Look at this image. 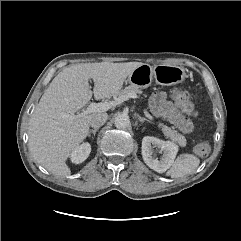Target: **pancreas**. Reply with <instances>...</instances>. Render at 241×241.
Returning <instances> with one entry per match:
<instances>
[{
  "instance_id": "cf45deb5",
  "label": "pancreas",
  "mask_w": 241,
  "mask_h": 241,
  "mask_svg": "<svg viewBox=\"0 0 241 241\" xmlns=\"http://www.w3.org/2000/svg\"><path fill=\"white\" fill-rule=\"evenodd\" d=\"M142 90L137 85H129L122 90L121 94H142ZM158 126L161 128L163 134L170 138L172 141L176 142L179 146L184 147L186 145V138L177 132L175 129H172L162 123H159Z\"/></svg>"
}]
</instances>
